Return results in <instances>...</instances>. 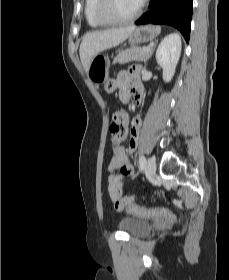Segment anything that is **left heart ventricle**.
I'll use <instances>...</instances> for the list:
<instances>
[{"instance_id":"left-heart-ventricle-1","label":"left heart ventricle","mask_w":229,"mask_h":280,"mask_svg":"<svg viewBox=\"0 0 229 280\" xmlns=\"http://www.w3.org/2000/svg\"><path fill=\"white\" fill-rule=\"evenodd\" d=\"M137 0H111L110 13L118 18H126L135 13L139 7Z\"/></svg>"}]
</instances>
